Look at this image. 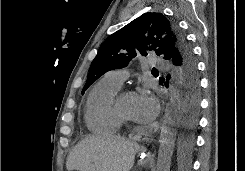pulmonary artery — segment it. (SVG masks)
<instances>
[{
    "instance_id": "pulmonary-artery-1",
    "label": "pulmonary artery",
    "mask_w": 245,
    "mask_h": 171,
    "mask_svg": "<svg viewBox=\"0 0 245 171\" xmlns=\"http://www.w3.org/2000/svg\"><path fill=\"white\" fill-rule=\"evenodd\" d=\"M157 68H168V62L161 58L153 60ZM105 80L117 88H121L123 82L127 78V72L124 69L112 70L105 75Z\"/></svg>"
}]
</instances>
